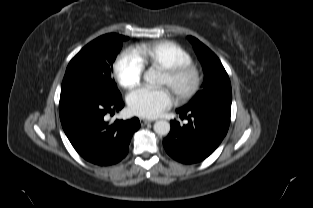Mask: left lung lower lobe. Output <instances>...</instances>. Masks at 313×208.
Masks as SVG:
<instances>
[{
	"label": "left lung lower lobe",
	"mask_w": 313,
	"mask_h": 208,
	"mask_svg": "<svg viewBox=\"0 0 313 208\" xmlns=\"http://www.w3.org/2000/svg\"><path fill=\"white\" fill-rule=\"evenodd\" d=\"M177 113L188 123L170 122L171 131L163 140L166 152L175 160L192 164L211 155L227 134L231 106L203 104L192 108H179Z\"/></svg>",
	"instance_id": "obj_1"
}]
</instances>
